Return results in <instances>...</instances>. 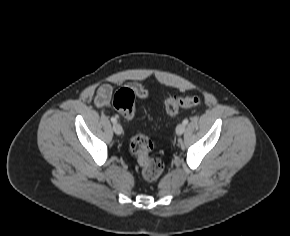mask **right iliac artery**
I'll use <instances>...</instances> for the list:
<instances>
[{"label":"right iliac artery","instance_id":"obj_1","mask_svg":"<svg viewBox=\"0 0 290 236\" xmlns=\"http://www.w3.org/2000/svg\"><path fill=\"white\" fill-rule=\"evenodd\" d=\"M111 121H112L113 123H116V122H117L116 118H114V117L111 118Z\"/></svg>","mask_w":290,"mask_h":236}]
</instances>
